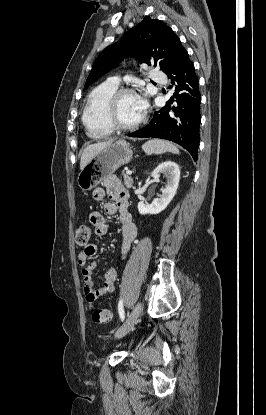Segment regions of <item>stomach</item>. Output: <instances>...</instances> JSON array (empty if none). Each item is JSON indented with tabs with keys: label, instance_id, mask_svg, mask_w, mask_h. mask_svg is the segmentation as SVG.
<instances>
[{
	"label": "stomach",
	"instance_id": "1",
	"mask_svg": "<svg viewBox=\"0 0 266 415\" xmlns=\"http://www.w3.org/2000/svg\"><path fill=\"white\" fill-rule=\"evenodd\" d=\"M132 155L129 144L124 140L105 147L80 171L77 177L79 188L83 191L95 188L119 167L129 163Z\"/></svg>",
	"mask_w": 266,
	"mask_h": 415
}]
</instances>
